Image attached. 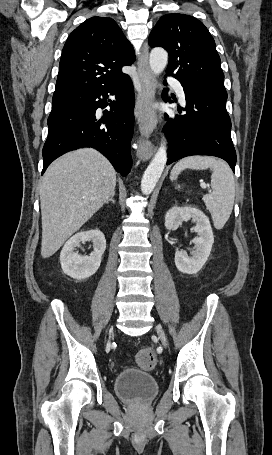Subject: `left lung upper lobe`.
<instances>
[{
  "mask_svg": "<svg viewBox=\"0 0 272 455\" xmlns=\"http://www.w3.org/2000/svg\"><path fill=\"white\" fill-rule=\"evenodd\" d=\"M149 45L167 50V75L224 86L214 39L198 19L185 14L162 16L150 33Z\"/></svg>",
  "mask_w": 272,
  "mask_h": 455,
  "instance_id": "5c2ea615",
  "label": "left lung upper lobe"
}]
</instances>
